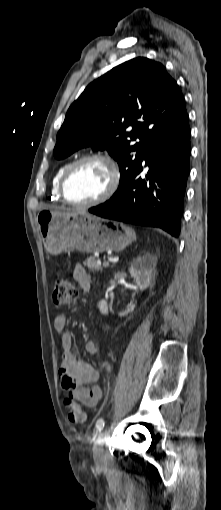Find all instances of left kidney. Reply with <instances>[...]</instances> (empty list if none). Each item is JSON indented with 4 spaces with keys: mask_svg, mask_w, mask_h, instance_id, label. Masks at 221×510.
I'll return each mask as SVG.
<instances>
[{
    "mask_svg": "<svg viewBox=\"0 0 221 510\" xmlns=\"http://www.w3.org/2000/svg\"><path fill=\"white\" fill-rule=\"evenodd\" d=\"M157 258L149 253L139 256L130 266V274L134 278L136 284L141 291L145 290L151 281ZM136 304L130 303L125 311L119 313V316H125L135 309ZM97 307L101 314H108V305L105 300L97 303Z\"/></svg>",
    "mask_w": 221,
    "mask_h": 510,
    "instance_id": "1",
    "label": "left kidney"
}]
</instances>
